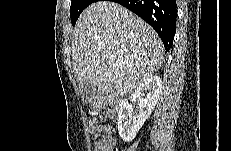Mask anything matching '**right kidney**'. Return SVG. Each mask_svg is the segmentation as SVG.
I'll return each mask as SVG.
<instances>
[{"mask_svg": "<svg viewBox=\"0 0 231 151\" xmlns=\"http://www.w3.org/2000/svg\"><path fill=\"white\" fill-rule=\"evenodd\" d=\"M162 91V80L159 76H151L143 81L135 90L132 100L139 104L137 115H133V106L124 101L118 112V131L125 142L132 141L145 120L149 118L157 104Z\"/></svg>", "mask_w": 231, "mask_h": 151, "instance_id": "right-kidney-1", "label": "right kidney"}]
</instances>
